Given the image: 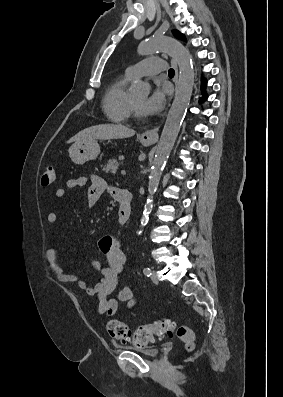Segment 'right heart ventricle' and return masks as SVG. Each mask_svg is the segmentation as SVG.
Segmentation results:
<instances>
[{"instance_id":"e07e8e85","label":"right heart ventricle","mask_w":283,"mask_h":397,"mask_svg":"<svg viewBox=\"0 0 283 397\" xmlns=\"http://www.w3.org/2000/svg\"><path fill=\"white\" fill-rule=\"evenodd\" d=\"M131 78L123 75L114 79L107 87L103 101L105 116L112 122L124 123L130 116V96L127 85Z\"/></svg>"}]
</instances>
